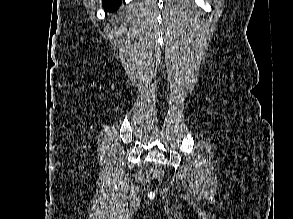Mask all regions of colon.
Here are the masks:
<instances>
[{"instance_id": "5ec220e1", "label": "colon", "mask_w": 293, "mask_h": 219, "mask_svg": "<svg viewBox=\"0 0 293 219\" xmlns=\"http://www.w3.org/2000/svg\"><path fill=\"white\" fill-rule=\"evenodd\" d=\"M163 172L161 170L155 169L151 171H141L137 174V180L141 183H146L153 181L162 177Z\"/></svg>"}]
</instances>
